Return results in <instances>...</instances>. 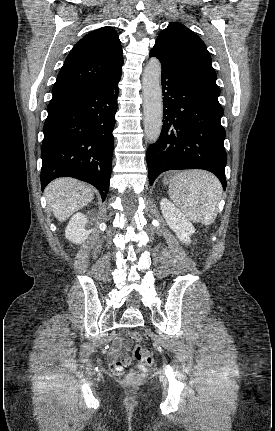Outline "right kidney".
Returning <instances> with one entry per match:
<instances>
[{
	"mask_svg": "<svg viewBox=\"0 0 275 431\" xmlns=\"http://www.w3.org/2000/svg\"><path fill=\"white\" fill-rule=\"evenodd\" d=\"M87 223L88 218L86 215L80 212L74 214L66 227V238L75 244L84 242L90 234V231L86 229Z\"/></svg>",
	"mask_w": 275,
	"mask_h": 431,
	"instance_id": "ca27d5eb",
	"label": "right kidney"
}]
</instances>
